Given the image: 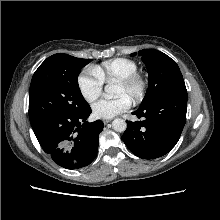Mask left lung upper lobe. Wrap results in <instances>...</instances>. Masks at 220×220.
I'll list each match as a JSON object with an SVG mask.
<instances>
[{
	"mask_svg": "<svg viewBox=\"0 0 220 220\" xmlns=\"http://www.w3.org/2000/svg\"><path fill=\"white\" fill-rule=\"evenodd\" d=\"M138 54L145 62L149 75L148 89L140 108L154 103L161 97L187 92L177 63L168 55L154 49H143Z\"/></svg>",
	"mask_w": 220,
	"mask_h": 220,
	"instance_id": "5c2ea615",
	"label": "left lung upper lobe"
}]
</instances>
